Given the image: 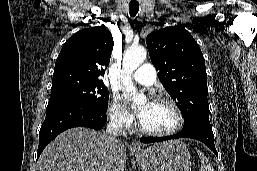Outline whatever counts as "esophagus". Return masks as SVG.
I'll list each match as a JSON object with an SVG mask.
<instances>
[{
  "label": "esophagus",
  "instance_id": "obj_1",
  "mask_svg": "<svg viewBox=\"0 0 257 171\" xmlns=\"http://www.w3.org/2000/svg\"><path fill=\"white\" fill-rule=\"evenodd\" d=\"M130 148L133 150H140L141 146L136 140H133L130 144Z\"/></svg>",
  "mask_w": 257,
  "mask_h": 171
}]
</instances>
